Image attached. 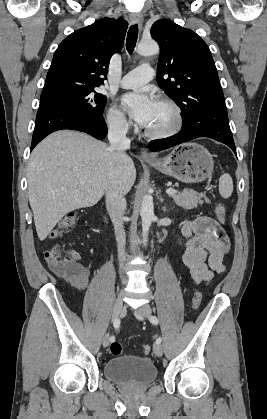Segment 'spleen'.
I'll return each mask as SVG.
<instances>
[{
  "label": "spleen",
  "mask_w": 267,
  "mask_h": 419,
  "mask_svg": "<svg viewBox=\"0 0 267 419\" xmlns=\"http://www.w3.org/2000/svg\"><path fill=\"white\" fill-rule=\"evenodd\" d=\"M233 192V182L229 174L223 173L219 179V193L223 198H229Z\"/></svg>",
  "instance_id": "obj_1"
}]
</instances>
